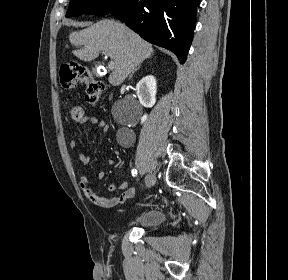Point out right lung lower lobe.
<instances>
[{
  "mask_svg": "<svg viewBox=\"0 0 288 280\" xmlns=\"http://www.w3.org/2000/svg\"><path fill=\"white\" fill-rule=\"evenodd\" d=\"M199 0H126L107 12L146 41L171 50L185 63L193 39Z\"/></svg>",
  "mask_w": 288,
  "mask_h": 280,
  "instance_id": "1",
  "label": "right lung lower lobe"
}]
</instances>
